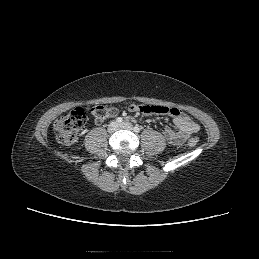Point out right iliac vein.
<instances>
[{"mask_svg": "<svg viewBox=\"0 0 259 259\" xmlns=\"http://www.w3.org/2000/svg\"><path fill=\"white\" fill-rule=\"evenodd\" d=\"M117 129H118V124H117L116 122H112V123H110L109 126H108V131H109L110 133L115 132Z\"/></svg>", "mask_w": 259, "mask_h": 259, "instance_id": "63e3f726", "label": "right iliac vein"}]
</instances>
